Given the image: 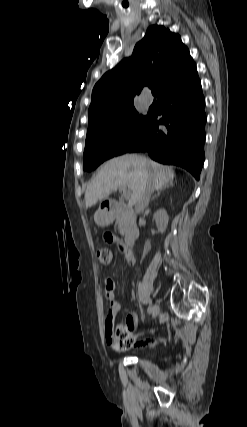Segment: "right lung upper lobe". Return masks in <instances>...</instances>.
<instances>
[{
	"mask_svg": "<svg viewBox=\"0 0 247 427\" xmlns=\"http://www.w3.org/2000/svg\"><path fill=\"white\" fill-rule=\"evenodd\" d=\"M195 66L179 35L162 26L147 29L131 57L107 71L95 84L89 107L88 129L115 119L133 105L136 94L147 86L159 97Z\"/></svg>",
	"mask_w": 247,
	"mask_h": 427,
	"instance_id": "right-lung-upper-lobe-1",
	"label": "right lung upper lobe"
}]
</instances>
